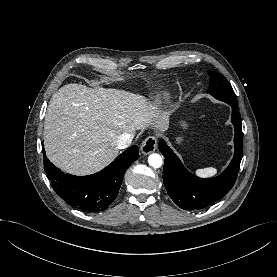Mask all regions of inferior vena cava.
<instances>
[{"label": "inferior vena cava", "mask_w": 277, "mask_h": 277, "mask_svg": "<svg viewBox=\"0 0 277 277\" xmlns=\"http://www.w3.org/2000/svg\"><path fill=\"white\" fill-rule=\"evenodd\" d=\"M133 137H134V135L130 134V133L121 134L116 141L117 148L118 149L127 148L131 144Z\"/></svg>", "instance_id": "obj_1"}]
</instances>
